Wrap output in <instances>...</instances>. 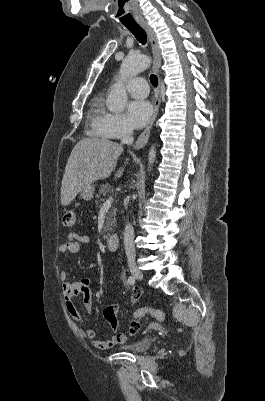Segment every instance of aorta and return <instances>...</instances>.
<instances>
[{
	"mask_svg": "<svg viewBox=\"0 0 265 401\" xmlns=\"http://www.w3.org/2000/svg\"><path fill=\"white\" fill-rule=\"evenodd\" d=\"M147 58L148 56H144V54H142L141 60H145V62H137L134 56H129V58L122 60V64L120 66V78H118L117 82H115L112 88H110V92L106 100L109 110H112V112L123 110L125 104H127V94L124 86V80L126 76H135V74H138L142 68H146ZM155 156V146H151L148 156L149 164H153V162H155ZM149 168H151V166H149Z\"/></svg>",
	"mask_w": 265,
	"mask_h": 401,
	"instance_id": "aorta-1",
	"label": "aorta"
}]
</instances>
